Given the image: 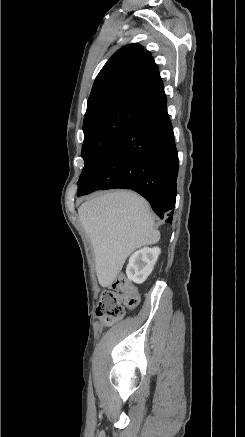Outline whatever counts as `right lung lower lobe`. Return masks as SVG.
Here are the masks:
<instances>
[{
  "label": "right lung lower lobe",
  "mask_w": 245,
  "mask_h": 437,
  "mask_svg": "<svg viewBox=\"0 0 245 437\" xmlns=\"http://www.w3.org/2000/svg\"><path fill=\"white\" fill-rule=\"evenodd\" d=\"M178 153L166 100L145 107L125 125L77 196L100 189L125 188L149 201L153 211L172 223L177 195Z\"/></svg>",
  "instance_id": "right-lung-lower-lobe-1"
}]
</instances>
